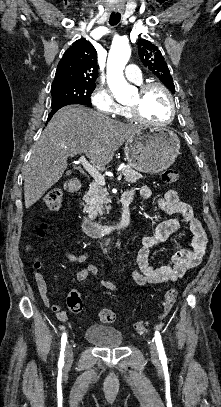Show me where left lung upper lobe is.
I'll list each match as a JSON object with an SVG mask.
<instances>
[{
    "instance_id": "5c2ea615",
    "label": "left lung upper lobe",
    "mask_w": 221,
    "mask_h": 407,
    "mask_svg": "<svg viewBox=\"0 0 221 407\" xmlns=\"http://www.w3.org/2000/svg\"><path fill=\"white\" fill-rule=\"evenodd\" d=\"M138 50L141 62L144 66L150 69L172 93H175L172 76L157 46L145 39H140L138 41Z\"/></svg>"
}]
</instances>
